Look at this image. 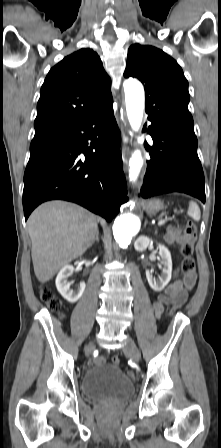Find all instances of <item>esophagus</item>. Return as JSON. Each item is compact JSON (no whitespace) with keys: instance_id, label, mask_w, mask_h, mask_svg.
<instances>
[{"instance_id":"obj_1","label":"esophagus","mask_w":221,"mask_h":448,"mask_svg":"<svg viewBox=\"0 0 221 448\" xmlns=\"http://www.w3.org/2000/svg\"><path fill=\"white\" fill-rule=\"evenodd\" d=\"M121 132H122V160H123V163L126 168L128 156L130 153L129 146H128L129 135H128V131L122 125H121Z\"/></svg>"}]
</instances>
